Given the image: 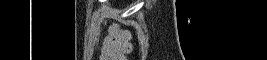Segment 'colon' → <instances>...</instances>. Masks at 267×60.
<instances>
[{
    "mask_svg": "<svg viewBox=\"0 0 267 60\" xmlns=\"http://www.w3.org/2000/svg\"><path fill=\"white\" fill-rule=\"evenodd\" d=\"M131 35L123 28H116L106 36L101 49L103 60H125L131 51Z\"/></svg>",
    "mask_w": 267,
    "mask_h": 60,
    "instance_id": "obj_1",
    "label": "colon"
}]
</instances>
